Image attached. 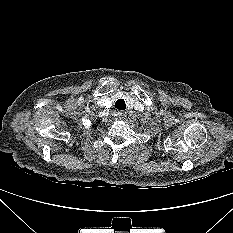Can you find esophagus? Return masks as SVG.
Instances as JSON below:
<instances>
[{
    "mask_svg": "<svg viewBox=\"0 0 233 233\" xmlns=\"http://www.w3.org/2000/svg\"><path fill=\"white\" fill-rule=\"evenodd\" d=\"M117 117H118L119 120H123V119L125 118V113L122 112V111H121V112H118V113H117Z\"/></svg>",
    "mask_w": 233,
    "mask_h": 233,
    "instance_id": "esophagus-1",
    "label": "esophagus"
}]
</instances>
